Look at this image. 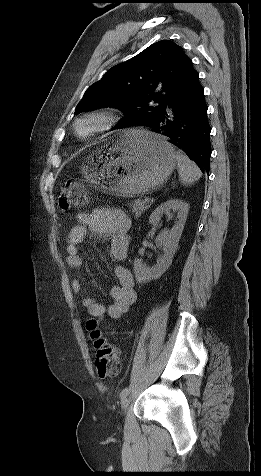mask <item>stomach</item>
I'll list each match as a JSON object with an SVG mask.
<instances>
[{
  "instance_id": "stomach-1",
  "label": "stomach",
  "mask_w": 261,
  "mask_h": 476,
  "mask_svg": "<svg viewBox=\"0 0 261 476\" xmlns=\"http://www.w3.org/2000/svg\"><path fill=\"white\" fill-rule=\"evenodd\" d=\"M177 164L173 147L148 130L117 133L90 154L81 172L109 194L134 197L158 189Z\"/></svg>"
}]
</instances>
